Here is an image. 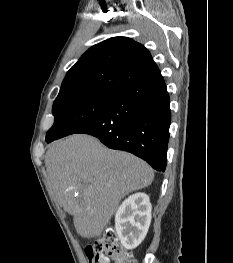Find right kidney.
<instances>
[{"instance_id": "1", "label": "right kidney", "mask_w": 233, "mask_h": 263, "mask_svg": "<svg viewBox=\"0 0 233 263\" xmlns=\"http://www.w3.org/2000/svg\"><path fill=\"white\" fill-rule=\"evenodd\" d=\"M152 206L147 194L138 192L125 199L115 215V228L124 248L135 249L144 240L151 222Z\"/></svg>"}]
</instances>
